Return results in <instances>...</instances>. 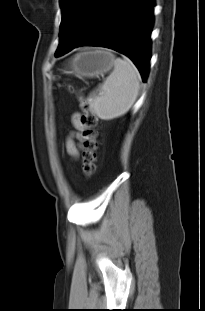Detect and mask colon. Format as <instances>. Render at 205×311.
Returning <instances> with one entry per match:
<instances>
[{"instance_id": "colon-1", "label": "colon", "mask_w": 205, "mask_h": 311, "mask_svg": "<svg viewBox=\"0 0 205 311\" xmlns=\"http://www.w3.org/2000/svg\"><path fill=\"white\" fill-rule=\"evenodd\" d=\"M68 90L77 95L82 110L81 123L83 131V163L82 169L86 177H91L96 171L98 149V117L95 114L88 98L83 96L76 88L69 85Z\"/></svg>"}]
</instances>
